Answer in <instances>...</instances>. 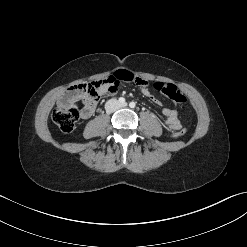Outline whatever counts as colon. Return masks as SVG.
Segmentation results:
<instances>
[{
  "instance_id": "obj_1",
  "label": "colon",
  "mask_w": 247,
  "mask_h": 247,
  "mask_svg": "<svg viewBox=\"0 0 247 247\" xmlns=\"http://www.w3.org/2000/svg\"><path fill=\"white\" fill-rule=\"evenodd\" d=\"M135 82H140V78H136ZM119 79L109 76L105 79L81 84L71 90L61 102L52 111V120L65 133H70L74 130L79 119L80 110L75 103V98L78 93L83 95V101L87 104H96L101 91L106 89L117 88ZM154 88L168 97L176 104L186 102V97L173 84H165L161 82L154 83ZM185 130H176L173 132L174 138H180L185 135Z\"/></svg>"
}]
</instances>
